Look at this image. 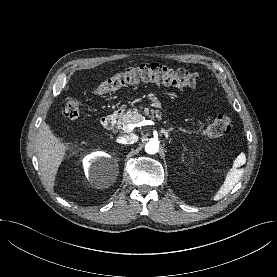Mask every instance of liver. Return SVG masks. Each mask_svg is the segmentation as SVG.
Returning <instances> with one entry per match:
<instances>
[{
	"mask_svg": "<svg viewBox=\"0 0 277 277\" xmlns=\"http://www.w3.org/2000/svg\"><path fill=\"white\" fill-rule=\"evenodd\" d=\"M36 143L42 178L49 187H53L57 170L69 148L68 143L58 138L46 122H43L39 128Z\"/></svg>",
	"mask_w": 277,
	"mask_h": 277,
	"instance_id": "liver-1",
	"label": "liver"
}]
</instances>
